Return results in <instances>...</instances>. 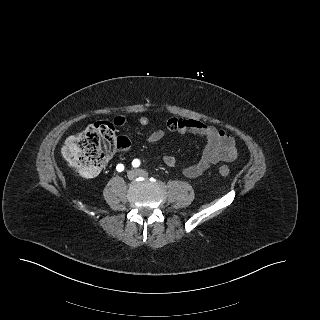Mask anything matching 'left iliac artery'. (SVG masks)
I'll return each mask as SVG.
<instances>
[{
    "label": "left iliac artery",
    "mask_w": 320,
    "mask_h": 320,
    "mask_svg": "<svg viewBox=\"0 0 320 320\" xmlns=\"http://www.w3.org/2000/svg\"><path fill=\"white\" fill-rule=\"evenodd\" d=\"M133 167H138L140 165V160L134 159L132 162Z\"/></svg>",
    "instance_id": "obj_1"
}]
</instances>
